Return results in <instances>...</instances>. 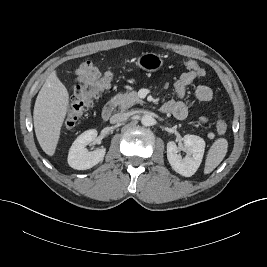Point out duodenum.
Segmentation results:
<instances>
[{"label":"duodenum","mask_w":267,"mask_h":267,"mask_svg":"<svg viewBox=\"0 0 267 267\" xmlns=\"http://www.w3.org/2000/svg\"><path fill=\"white\" fill-rule=\"evenodd\" d=\"M114 111H115V103L112 101L107 102L102 109L103 119L108 120L113 115ZM161 111H162V107H161Z\"/></svg>","instance_id":"obj_1"}]
</instances>
